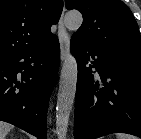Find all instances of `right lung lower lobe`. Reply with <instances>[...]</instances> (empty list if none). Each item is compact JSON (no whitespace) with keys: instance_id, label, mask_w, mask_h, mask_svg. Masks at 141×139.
<instances>
[{"instance_id":"right-lung-lower-lobe-1","label":"right lung lower lobe","mask_w":141,"mask_h":139,"mask_svg":"<svg viewBox=\"0 0 141 139\" xmlns=\"http://www.w3.org/2000/svg\"><path fill=\"white\" fill-rule=\"evenodd\" d=\"M59 61L55 35L44 44L0 58V120L46 139L49 94L57 79Z\"/></svg>"}]
</instances>
